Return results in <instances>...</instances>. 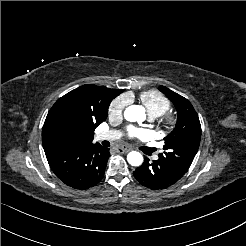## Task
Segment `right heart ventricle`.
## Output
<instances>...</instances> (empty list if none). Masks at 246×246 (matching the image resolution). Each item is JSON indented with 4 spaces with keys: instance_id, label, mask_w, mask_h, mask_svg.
Wrapping results in <instances>:
<instances>
[{
    "instance_id": "1",
    "label": "right heart ventricle",
    "mask_w": 246,
    "mask_h": 246,
    "mask_svg": "<svg viewBox=\"0 0 246 246\" xmlns=\"http://www.w3.org/2000/svg\"><path fill=\"white\" fill-rule=\"evenodd\" d=\"M139 100L151 117H159L171 108V102L161 91L150 89L139 94Z\"/></svg>"
}]
</instances>
